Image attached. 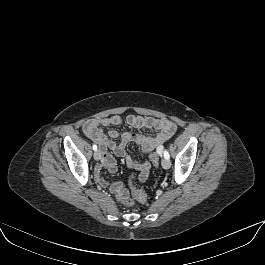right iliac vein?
<instances>
[{
    "instance_id": "obj_1",
    "label": "right iliac vein",
    "mask_w": 265,
    "mask_h": 265,
    "mask_svg": "<svg viewBox=\"0 0 265 265\" xmlns=\"http://www.w3.org/2000/svg\"><path fill=\"white\" fill-rule=\"evenodd\" d=\"M100 157H101V152H100V150H96V151L94 152V159H95L96 161H98V160L100 159Z\"/></svg>"
}]
</instances>
